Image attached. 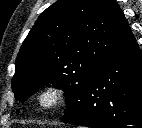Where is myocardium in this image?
<instances>
[{"label": "myocardium", "instance_id": "f54148a6", "mask_svg": "<svg viewBox=\"0 0 142 128\" xmlns=\"http://www.w3.org/2000/svg\"><path fill=\"white\" fill-rule=\"evenodd\" d=\"M65 101L64 90L55 83H49L44 86L38 95L39 106L46 111L56 110Z\"/></svg>", "mask_w": 142, "mask_h": 128}]
</instances>
